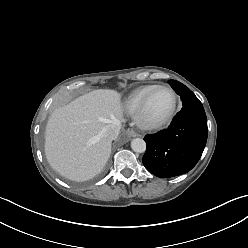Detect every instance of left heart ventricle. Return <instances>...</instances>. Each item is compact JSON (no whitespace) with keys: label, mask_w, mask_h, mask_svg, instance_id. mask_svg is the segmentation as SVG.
<instances>
[{"label":"left heart ventricle","mask_w":248,"mask_h":248,"mask_svg":"<svg viewBox=\"0 0 248 248\" xmlns=\"http://www.w3.org/2000/svg\"><path fill=\"white\" fill-rule=\"evenodd\" d=\"M171 105V94L164 89H157L149 98L146 115L149 119H158L168 112Z\"/></svg>","instance_id":"1"}]
</instances>
